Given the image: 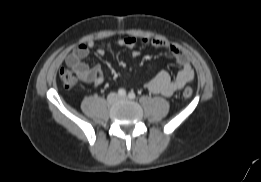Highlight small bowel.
I'll use <instances>...</instances> for the list:
<instances>
[{
  "label": "small bowel",
  "instance_id": "small-bowel-1",
  "mask_svg": "<svg viewBox=\"0 0 261 182\" xmlns=\"http://www.w3.org/2000/svg\"><path fill=\"white\" fill-rule=\"evenodd\" d=\"M140 42L146 46H152L156 49H162L170 53L181 67L175 78L166 71L159 72L155 77L145 84V88L154 94L171 96L177 90L183 88L194 78V70L191 66L189 57L179 47L160 39H143L138 41L134 37H125L118 41V45L132 50L133 57H138L140 52L136 46ZM95 46L94 41H88L79 44L66 58V64L75 71L82 81L93 86H99L104 83L105 78L99 65L90 66L84 60L88 57L90 50ZM99 56L105 54L103 48L97 50Z\"/></svg>",
  "mask_w": 261,
  "mask_h": 182
}]
</instances>
